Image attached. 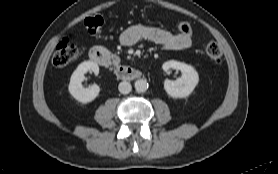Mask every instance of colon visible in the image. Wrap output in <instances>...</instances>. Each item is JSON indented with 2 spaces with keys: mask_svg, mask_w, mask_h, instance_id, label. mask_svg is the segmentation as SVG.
<instances>
[{
  "mask_svg": "<svg viewBox=\"0 0 278 174\" xmlns=\"http://www.w3.org/2000/svg\"><path fill=\"white\" fill-rule=\"evenodd\" d=\"M84 24L89 32L95 33L103 26L104 18L100 15L88 17L85 19ZM178 30L183 35H192V28L187 22L180 23ZM205 53L207 58L214 63H219L222 59L221 47L214 41H210L206 44ZM78 54V45L73 43L70 39L65 38L60 41L55 48L52 62L56 67H64L76 59Z\"/></svg>",
  "mask_w": 278,
  "mask_h": 174,
  "instance_id": "5ec220e1",
  "label": "colon"
}]
</instances>
